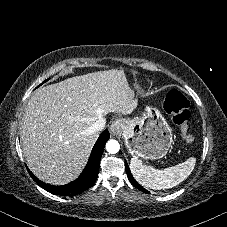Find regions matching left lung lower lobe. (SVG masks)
Masks as SVG:
<instances>
[{"label": "left lung lower lobe", "mask_w": 227, "mask_h": 227, "mask_svg": "<svg viewBox=\"0 0 227 227\" xmlns=\"http://www.w3.org/2000/svg\"><path fill=\"white\" fill-rule=\"evenodd\" d=\"M125 170H126L128 179L132 183V185H134L137 189H139V190H141V191H143L145 193H148V194L150 193L149 191H147L146 189H144L142 186H140L138 184V182L133 178V176H132V174L130 172V169H129V167H128V165H127L126 162H125Z\"/></svg>", "instance_id": "left-lung-lower-lobe-1"}]
</instances>
